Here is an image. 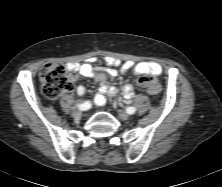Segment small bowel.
<instances>
[{
	"instance_id": "obj_1",
	"label": "small bowel",
	"mask_w": 222,
	"mask_h": 187,
	"mask_svg": "<svg viewBox=\"0 0 222 187\" xmlns=\"http://www.w3.org/2000/svg\"><path fill=\"white\" fill-rule=\"evenodd\" d=\"M92 58L90 62H94ZM106 62L112 66L109 68H94L91 63H69L68 68L74 72V75H81L83 77L92 78L95 82L100 84V90L94 98V102L97 105H104L107 96H115L118 90L114 86L107 84V75L116 76L118 73H126L132 71L134 77H138L143 74L158 76L162 73V66L153 61H140L134 63L132 61L121 62L115 58H107ZM118 67L119 69H116ZM86 93V87L79 85L76 87V94L83 95ZM122 96L126 100H130L134 97V89L130 84H125L121 90Z\"/></svg>"
}]
</instances>
